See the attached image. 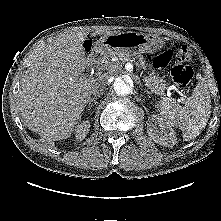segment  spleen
Here are the masks:
<instances>
[{"mask_svg": "<svg viewBox=\"0 0 221 221\" xmlns=\"http://www.w3.org/2000/svg\"><path fill=\"white\" fill-rule=\"evenodd\" d=\"M161 118L170 126L179 128L185 140L198 136L207 125L211 113L207 85L198 84L184 106L174 99L164 98L158 105Z\"/></svg>", "mask_w": 221, "mask_h": 221, "instance_id": "obj_1", "label": "spleen"}]
</instances>
